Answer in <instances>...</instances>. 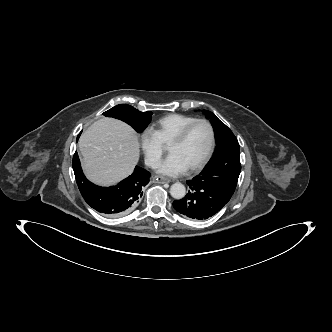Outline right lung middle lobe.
Listing matches in <instances>:
<instances>
[{"label":"right lung middle lobe","instance_id":"dd1d6c3e","mask_svg":"<svg viewBox=\"0 0 332 332\" xmlns=\"http://www.w3.org/2000/svg\"><path fill=\"white\" fill-rule=\"evenodd\" d=\"M104 116L120 119L132 126L138 133L144 131L152 119V112H140L130 105L120 104L103 113Z\"/></svg>","mask_w":332,"mask_h":332}]
</instances>
